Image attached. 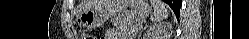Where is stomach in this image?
<instances>
[{"label":"stomach","instance_id":"stomach-1","mask_svg":"<svg viewBox=\"0 0 249 39\" xmlns=\"http://www.w3.org/2000/svg\"><path fill=\"white\" fill-rule=\"evenodd\" d=\"M150 12L146 0H121L118 3L104 5L98 4L83 10L78 17V24L85 29H94L104 24L113 15L129 17L141 21Z\"/></svg>","mask_w":249,"mask_h":39}]
</instances>
